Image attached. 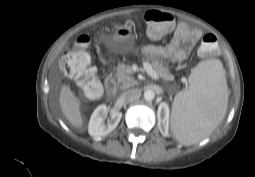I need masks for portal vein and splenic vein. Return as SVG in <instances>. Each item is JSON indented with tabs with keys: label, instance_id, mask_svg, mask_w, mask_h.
<instances>
[{
	"label": "portal vein and splenic vein",
	"instance_id": "18ae733b",
	"mask_svg": "<svg viewBox=\"0 0 255 177\" xmlns=\"http://www.w3.org/2000/svg\"><path fill=\"white\" fill-rule=\"evenodd\" d=\"M143 67L153 79L157 80L159 79V75L156 73V71L152 68L151 64L147 61L143 62Z\"/></svg>",
	"mask_w": 255,
	"mask_h": 177
}]
</instances>
